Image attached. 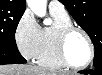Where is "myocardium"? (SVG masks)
I'll return each mask as SVG.
<instances>
[{"mask_svg":"<svg viewBox=\"0 0 102 75\" xmlns=\"http://www.w3.org/2000/svg\"><path fill=\"white\" fill-rule=\"evenodd\" d=\"M74 32H80L81 34L84 35L86 38L88 44H89V49H90V54H89V59L88 61L80 66L75 65L69 58L67 52H66V43L68 38L72 35ZM55 46H56V52L59 60L65 65L69 67H75V68H83L86 67L91 60L93 59L94 56V44L89 36V34L80 26H77L75 24H69L63 28H61L57 35H56V40H55Z\"/></svg>","mask_w":102,"mask_h":75,"instance_id":"f54148a6","label":"myocardium"}]
</instances>
